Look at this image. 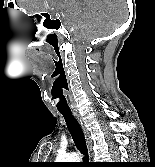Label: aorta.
<instances>
[{
  "instance_id": "obj_1",
  "label": "aorta",
  "mask_w": 155,
  "mask_h": 167,
  "mask_svg": "<svg viewBox=\"0 0 155 167\" xmlns=\"http://www.w3.org/2000/svg\"><path fill=\"white\" fill-rule=\"evenodd\" d=\"M59 162H79L80 157L76 153L59 155L56 159Z\"/></svg>"
}]
</instances>
